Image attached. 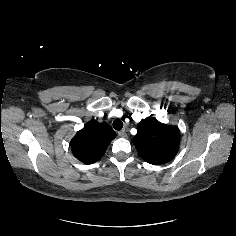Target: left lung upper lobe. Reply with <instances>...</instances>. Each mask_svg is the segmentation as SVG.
<instances>
[{"label":"left lung upper lobe","instance_id":"5c2ea615","mask_svg":"<svg viewBox=\"0 0 236 236\" xmlns=\"http://www.w3.org/2000/svg\"><path fill=\"white\" fill-rule=\"evenodd\" d=\"M132 141L146 162L163 164L176 156L180 132L176 126L162 124L157 119L148 117L137 125V134Z\"/></svg>","mask_w":236,"mask_h":236}]
</instances>
